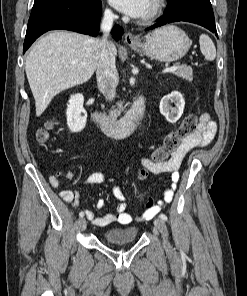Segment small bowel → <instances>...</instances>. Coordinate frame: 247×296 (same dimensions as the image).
<instances>
[{
    "label": "small bowel",
    "mask_w": 247,
    "mask_h": 296,
    "mask_svg": "<svg viewBox=\"0 0 247 296\" xmlns=\"http://www.w3.org/2000/svg\"><path fill=\"white\" fill-rule=\"evenodd\" d=\"M216 133V124L211 120L208 113H202L199 118V128L198 131L185 138L181 146L176 150L172 157L164 163H153L149 158H144L142 164L153 174L168 173L171 174L172 183L163 193V199L155 202L152 198H149L147 203L143 208L141 217L144 219H151L154 217L161 209L164 203H170L174 196V191L176 189V183L179 178L178 169L181 162L186 155V153L194 147L205 146L209 144L214 138ZM65 177L68 180L74 178V173L72 171H67ZM106 176L102 173H94L90 175L85 184H103L106 182ZM50 184L52 187H59V182L55 177L50 178ZM112 193L116 200L118 201L116 205L115 213H107L104 216L98 217L90 210H82L85 216L96 226L105 227L113 223H118L122 225H128L135 219L132 215L127 212L126 197L119 185H114L112 188ZM60 197L66 203H73L76 207H79V194L68 189L60 191ZM96 207L102 209L105 207V201L99 199L96 201Z\"/></svg>",
    "instance_id": "small-bowel-1"
}]
</instances>
